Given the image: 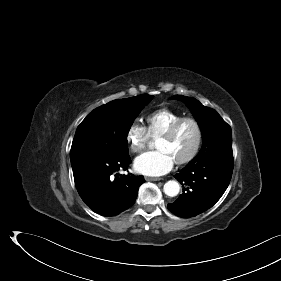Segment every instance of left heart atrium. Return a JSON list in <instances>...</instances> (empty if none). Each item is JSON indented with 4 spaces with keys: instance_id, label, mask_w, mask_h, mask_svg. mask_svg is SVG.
I'll return each mask as SVG.
<instances>
[{
    "instance_id": "left-heart-atrium-1",
    "label": "left heart atrium",
    "mask_w": 281,
    "mask_h": 281,
    "mask_svg": "<svg viewBox=\"0 0 281 281\" xmlns=\"http://www.w3.org/2000/svg\"><path fill=\"white\" fill-rule=\"evenodd\" d=\"M175 160L164 150L148 151L135 159V170L146 176H161L168 173Z\"/></svg>"
}]
</instances>
